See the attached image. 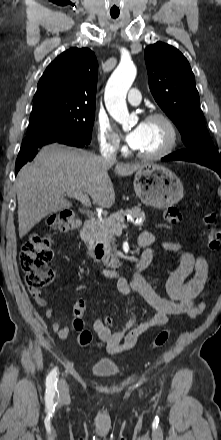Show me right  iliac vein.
<instances>
[{"instance_id": "obj_1", "label": "right iliac vein", "mask_w": 221, "mask_h": 440, "mask_svg": "<svg viewBox=\"0 0 221 440\" xmlns=\"http://www.w3.org/2000/svg\"><path fill=\"white\" fill-rule=\"evenodd\" d=\"M59 393L62 399H66L68 397V385L64 380H61L59 383Z\"/></svg>"}]
</instances>
